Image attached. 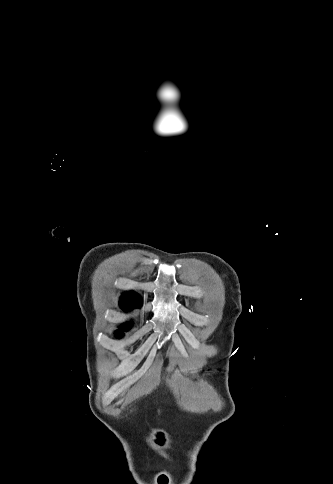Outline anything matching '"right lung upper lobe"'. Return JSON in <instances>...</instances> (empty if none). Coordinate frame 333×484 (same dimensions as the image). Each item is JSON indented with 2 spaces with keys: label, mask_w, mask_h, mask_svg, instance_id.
I'll list each match as a JSON object with an SVG mask.
<instances>
[{
  "label": "right lung upper lobe",
  "mask_w": 333,
  "mask_h": 484,
  "mask_svg": "<svg viewBox=\"0 0 333 484\" xmlns=\"http://www.w3.org/2000/svg\"><path fill=\"white\" fill-rule=\"evenodd\" d=\"M120 306L126 311L132 310L135 307H140L141 298L135 292L126 293L120 300Z\"/></svg>",
  "instance_id": "cb5924a9"
}]
</instances>
